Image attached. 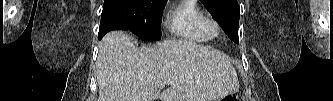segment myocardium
Masks as SVG:
<instances>
[{
	"label": "myocardium",
	"instance_id": "f54148a6",
	"mask_svg": "<svg viewBox=\"0 0 333 101\" xmlns=\"http://www.w3.org/2000/svg\"><path fill=\"white\" fill-rule=\"evenodd\" d=\"M206 27L211 34V36H217L221 32V26L219 22L212 16H207L206 18Z\"/></svg>",
	"mask_w": 333,
	"mask_h": 101
}]
</instances>
